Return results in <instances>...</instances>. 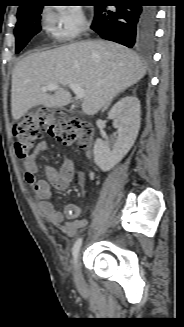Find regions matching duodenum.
Instances as JSON below:
<instances>
[{
    "label": "duodenum",
    "instance_id": "1",
    "mask_svg": "<svg viewBox=\"0 0 184 327\" xmlns=\"http://www.w3.org/2000/svg\"><path fill=\"white\" fill-rule=\"evenodd\" d=\"M90 154H91V151H90L89 149H86V150H85V155H86L87 157H89Z\"/></svg>",
    "mask_w": 184,
    "mask_h": 327
}]
</instances>
